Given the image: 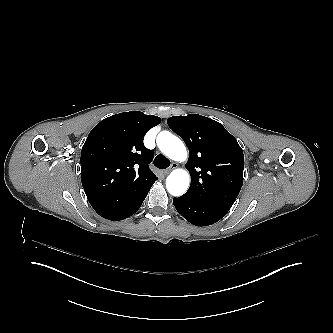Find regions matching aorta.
<instances>
[{
	"label": "aorta",
	"mask_w": 333,
	"mask_h": 333,
	"mask_svg": "<svg viewBox=\"0 0 333 333\" xmlns=\"http://www.w3.org/2000/svg\"><path fill=\"white\" fill-rule=\"evenodd\" d=\"M161 151L171 160L176 162L186 161L188 153L183 142L175 136H170L161 146ZM190 185V175L185 169H177L170 173L166 179V187L170 194L180 196L184 194Z\"/></svg>",
	"instance_id": "1"
}]
</instances>
